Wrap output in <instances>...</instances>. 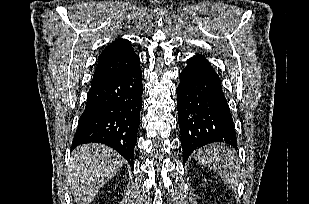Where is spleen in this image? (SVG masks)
Instances as JSON below:
<instances>
[{
  "instance_id": "1",
  "label": "spleen",
  "mask_w": 309,
  "mask_h": 204,
  "mask_svg": "<svg viewBox=\"0 0 309 204\" xmlns=\"http://www.w3.org/2000/svg\"><path fill=\"white\" fill-rule=\"evenodd\" d=\"M194 158L200 165L214 169L228 187L238 186L240 166L229 147L221 144L208 145L199 149Z\"/></svg>"
}]
</instances>
